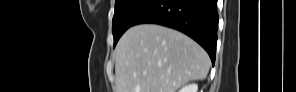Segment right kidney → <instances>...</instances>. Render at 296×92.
Masks as SVG:
<instances>
[{
    "mask_svg": "<svg viewBox=\"0 0 296 92\" xmlns=\"http://www.w3.org/2000/svg\"><path fill=\"white\" fill-rule=\"evenodd\" d=\"M198 85L197 84H188L184 87H182L179 92H197Z\"/></svg>",
    "mask_w": 296,
    "mask_h": 92,
    "instance_id": "ca27d5eb",
    "label": "right kidney"
}]
</instances>
